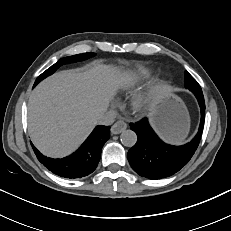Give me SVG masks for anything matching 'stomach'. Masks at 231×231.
Wrapping results in <instances>:
<instances>
[{
    "mask_svg": "<svg viewBox=\"0 0 231 231\" xmlns=\"http://www.w3.org/2000/svg\"><path fill=\"white\" fill-rule=\"evenodd\" d=\"M150 117L154 129L167 142L177 144L186 138L190 125L188 111L182 100L172 91H160Z\"/></svg>",
    "mask_w": 231,
    "mask_h": 231,
    "instance_id": "obj_1",
    "label": "stomach"
}]
</instances>
